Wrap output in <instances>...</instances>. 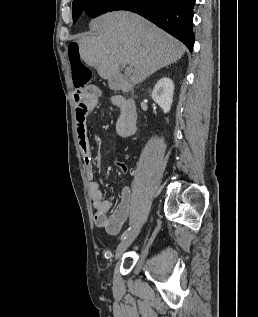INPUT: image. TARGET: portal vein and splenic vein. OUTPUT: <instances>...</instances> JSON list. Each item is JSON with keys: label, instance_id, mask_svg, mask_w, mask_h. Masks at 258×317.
Returning a JSON list of instances; mask_svg holds the SVG:
<instances>
[{"label": "portal vein and splenic vein", "instance_id": "obj_1", "mask_svg": "<svg viewBox=\"0 0 258 317\" xmlns=\"http://www.w3.org/2000/svg\"><path fill=\"white\" fill-rule=\"evenodd\" d=\"M125 70H126V74H131V72H132L131 66H127V68H125Z\"/></svg>", "mask_w": 258, "mask_h": 317}]
</instances>
